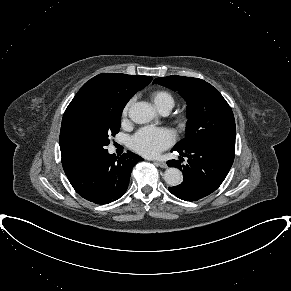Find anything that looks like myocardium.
I'll return each instance as SVG.
<instances>
[{"label":"myocardium","mask_w":291,"mask_h":291,"mask_svg":"<svg viewBox=\"0 0 291 291\" xmlns=\"http://www.w3.org/2000/svg\"><path fill=\"white\" fill-rule=\"evenodd\" d=\"M188 116L186 114H180L175 118V123L179 128H184L187 124Z\"/></svg>","instance_id":"myocardium-1"}]
</instances>
